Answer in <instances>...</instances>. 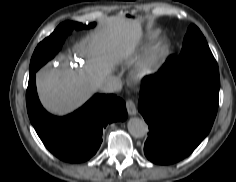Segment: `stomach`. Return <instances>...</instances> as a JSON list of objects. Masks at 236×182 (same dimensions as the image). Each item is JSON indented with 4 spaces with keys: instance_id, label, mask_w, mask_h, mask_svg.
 <instances>
[{
    "instance_id": "1",
    "label": "stomach",
    "mask_w": 236,
    "mask_h": 182,
    "mask_svg": "<svg viewBox=\"0 0 236 182\" xmlns=\"http://www.w3.org/2000/svg\"><path fill=\"white\" fill-rule=\"evenodd\" d=\"M125 19L130 20V21H134V22H135V21H138V22L141 21L140 18L135 17V16H131V15H126Z\"/></svg>"
}]
</instances>
